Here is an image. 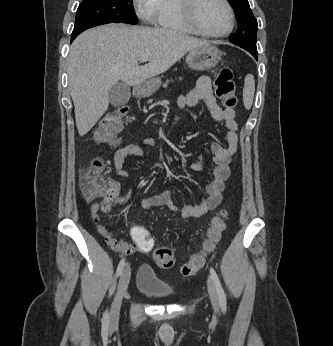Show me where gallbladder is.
<instances>
[{"instance_id":"1","label":"gallbladder","mask_w":333,"mask_h":346,"mask_svg":"<svg viewBox=\"0 0 333 346\" xmlns=\"http://www.w3.org/2000/svg\"><path fill=\"white\" fill-rule=\"evenodd\" d=\"M131 96L130 87L125 82H118L113 85L108 92V99L115 107L126 104Z\"/></svg>"}]
</instances>
